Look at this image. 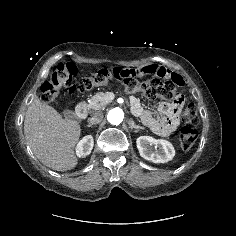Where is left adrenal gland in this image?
Wrapping results in <instances>:
<instances>
[{"label": "left adrenal gland", "mask_w": 236, "mask_h": 236, "mask_svg": "<svg viewBox=\"0 0 236 236\" xmlns=\"http://www.w3.org/2000/svg\"><path fill=\"white\" fill-rule=\"evenodd\" d=\"M129 126H130L131 129H133V128H135V129L141 128L140 126L136 125L132 119H129Z\"/></svg>", "instance_id": "1"}]
</instances>
